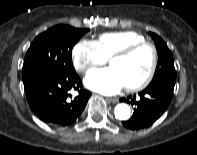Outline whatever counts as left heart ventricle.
Segmentation results:
<instances>
[{"mask_svg": "<svg viewBox=\"0 0 197 155\" xmlns=\"http://www.w3.org/2000/svg\"><path fill=\"white\" fill-rule=\"evenodd\" d=\"M152 62V53L149 48H142L130 56L124 58H117L111 62L122 77L125 86L134 85L142 81Z\"/></svg>", "mask_w": 197, "mask_h": 155, "instance_id": "obj_1", "label": "left heart ventricle"}]
</instances>
